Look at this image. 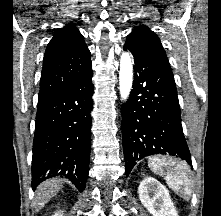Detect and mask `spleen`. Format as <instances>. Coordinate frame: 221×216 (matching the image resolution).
I'll return each instance as SVG.
<instances>
[{"instance_id": "1", "label": "spleen", "mask_w": 221, "mask_h": 216, "mask_svg": "<svg viewBox=\"0 0 221 216\" xmlns=\"http://www.w3.org/2000/svg\"><path fill=\"white\" fill-rule=\"evenodd\" d=\"M148 166L154 173L164 177L169 188L180 197L188 199L191 196V170L187 163L172 157H152Z\"/></svg>"}]
</instances>
